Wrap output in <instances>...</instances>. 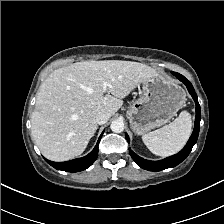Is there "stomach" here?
Wrapping results in <instances>:
<instances>
[{"mask_svg": "<svg viewBox=\"0 0 224 224\" xmlns=\"http://www.w3.org/2000/svg\"><path fill=\"white\" fill-rule=\"evenodd\" d=\"M185 100V91L176 82L156 74L142 83L140 97L127 111L131 129L142 135L166 124Z\"/></svg>", "mask_w": 224, "mask_h": 224, "instance_id": "0dacf381", "label": "stomach"}]
</instances>
